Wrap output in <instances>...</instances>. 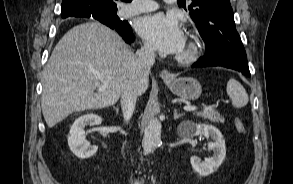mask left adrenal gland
Here are the masks:
<instances>
[{
	"instance_id": "a2214340",
	"label": "left adrenal gland",
	"mask_w": 293,
	"mask_h": 184,
	"mask_svg": "<svg viewBox=\"0 0 293 184\" xmlns=\"http://www.w3.org/2000/svg\"><path fill=\"white\" fill-rule=\"evenodd\" d=\"M181 116H183V114H178V113H177V110L174 109V119L177 120V119H179Z\"/></svg>"
}]
</instances>
